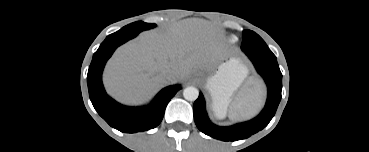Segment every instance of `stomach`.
I'll list each match as a JSON object with an SVG mask.
<instances>
[{"instance_id":"0dacf381","label":"stomach","mask_w":369,"mask_h":152,"mask_svg":"<svg viewBox=\"0 0 369 152\" xmlns=\"http://www.w3.org/2000/svg\"><path fill=\"white\" fill-rule=\"evenodd\" d=\"M246 76L245 67L237 59H230L219 66L214 76L207 80L206 88L213 99V110L219 118L226 114L234 91Z\"/></svg>"}]
</instances>
